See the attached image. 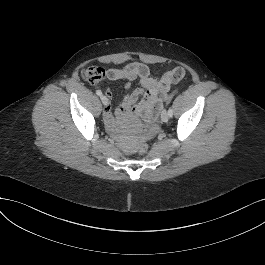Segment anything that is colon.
Here are the masks:
<instances>
[{
    "label": "colon",
    "instance_id": "5ec220e1",
    "mask_svg": "<svg viewBox=\"0 0 265 265\" xmlns=\"http://www.w3.org/2000/svg\"><path fill=\"white\" fill-rule=\"evenodd\" d=\"M83 78L89 83H96L103 79L104 77V69L99 66H92L85 69L82 73ZM172 95H170L167 99L169 101ZM137 151L139 154L144 155L148 151V145L146 143H141L137 147Z\"/></svg>",
    "mask_w": 265,
    "mask_h": 265
}]
</instances>
